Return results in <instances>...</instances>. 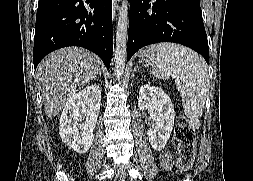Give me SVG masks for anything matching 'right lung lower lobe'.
<instances>
[{"instance_id": "right-lung-lower-lobe-1", "label": "right lung lower lobe", "mask_w": 253, "mask_h": 181, "mask_svg": "<svg viewBox=\"0 0 253 181\" xmlns=\"http://www.w3.org/2000/svg\"><path fill=\"white\" fill-rule=\"evenodd\" d=\"M67 46L94 52L109 68L113 52L112 0H39L34 68L50 52Z\"/></svg>"}]
</instances>
